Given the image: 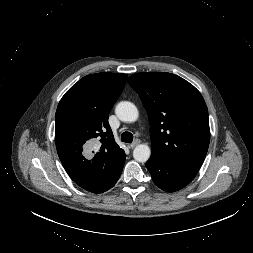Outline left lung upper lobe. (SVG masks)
<instances>
[{
	"mask_svg": "<svg viewBox=\"0 0 253 253\" xmlns=\"http://www.w3.org/2000/svg\"><path fill=\"white\" fill-rule=\"evenodd\" d=\"M128 83L147 111L152 155L197 174L210 141L208 109L200 92L166 72L137 73Z\"/></svg>",
	"mask_w": 253,
	"mask_h": 253,
	"instance_id": "left-lung-upper-lobe-1",
	"label": "left lung upper lobe"
}]
</instances>
